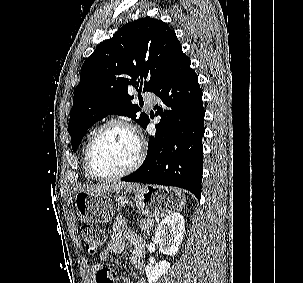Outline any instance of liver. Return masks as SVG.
<instances>
[{"instance_id":"6515ba94","label":"liver","mask_w":303,"mask_h":283,"mask_svg":"<svg viewBox=\"0 0 303 283\" xmlns=\"http://www.w3.org/2000/svg\"><path fill=\"white\" fill-rule=\"evenodd\" d=\"M138 185L128 182H107L99 185H83L79 187L80 192H85L90 195L110 194L113 192H121L126 189L136 187Z\"/></svg>"}]
</instances>
